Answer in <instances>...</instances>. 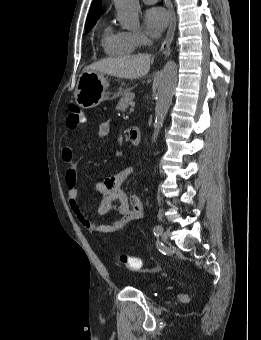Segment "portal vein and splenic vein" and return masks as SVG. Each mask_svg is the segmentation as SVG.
Returning <instances> with one entry per match:
<instances>
[{
    "label": "portal vein and splenic vein",
    "mask_w": 261,
    "mask_h": 340,
    "mask_svg": "<svg viewBox=\"0 0 261 340\" xmlns=\"http://www.w3.org/2000/svg\"><path fill=\"white\" fill-rule=\"evenodd\" d=\"M130 111H131V112L134 111V105L131 106Z\"/></svg>",
    "instance_id": "obj_1"
}]
</instances>
